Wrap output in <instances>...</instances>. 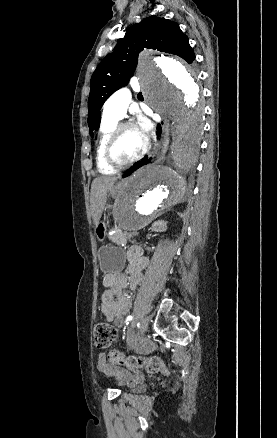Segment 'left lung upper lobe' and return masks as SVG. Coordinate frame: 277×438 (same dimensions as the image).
<instances>
[{
  "instance_id": "5c2ea615",
  "label": "left lung upper lobe",
  "mask_w": 277,
  "mask_h": 438,
  "mask_svg": "<svg viewBox=\"0 0 277 438\" xmlns=\"http://www.w3.org/2000/svg\"><path fill=\"white\" fill-rule=\"evenodd\" d=\"M144 48L177 55L189 64L195 54L188 37L179 25L165 18L150 16L126 30L113 53L107 55L94 71L88 99V126L90 134L98 130L100 109L105 100L116 90L127 85L138 62V54Z\"/></svg>"
}]
</instances>
